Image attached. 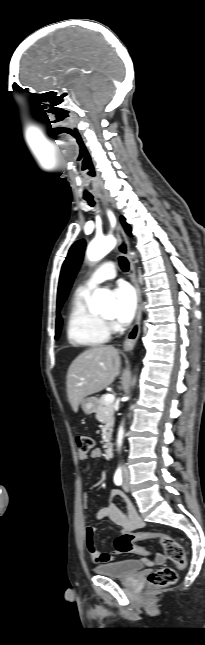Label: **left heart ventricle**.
<instances>
[{
	"mask_svg": "<svg viewBox=\"0 0 205 645\" xmlns=\"http://www.w3.org/2000/svg\"><path fill=\"white\" fill-rule=\"evenodd\" d=\"M103 315L106 316V317H111L112 316V310L105 312Z\"/></svg>",
	"mask_w": 205,
	"mask_h": 645,
	"instance_id": "1",
	"label": "left heart ventricle"
}]
</instances>
